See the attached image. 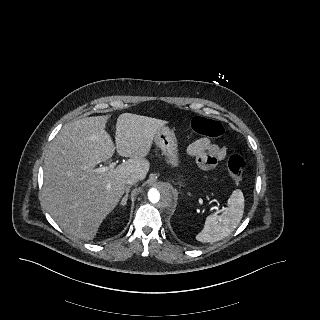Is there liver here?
Listing matches in <instances>:
<instances>
[{
  "label": "liver",
  "mask_w": 320,
  "mask_h": 320,
  "mask_svg": "<svg viewBox=\"0 0 320 320\" xmlns=\"http://www.w3.org/2000/svg\"><path fill=\"white\" fill-rule=\"evenodd\" d=\"M110 115L67 123L51 143L44 161L43 197L57 224L70 235L92 240L126 191V179L144 180L150 163L145 158L157 130L167 121L131 113L119 115L116 147L106 131ZM117 153L129 159L107 172L95 166Z\"/></svg>",
  "instance_id": "6515ba94"
}]
</instances>
